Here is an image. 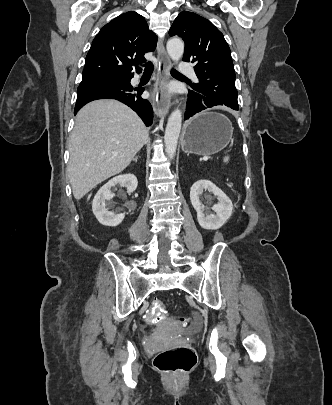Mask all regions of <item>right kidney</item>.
I'll use <instances>...</instances> for the list:
<instances>
[{"mask_svg":"<svg viewBox=\"0 0 332 405\" xmlns=\"http://www.w3.org/2000/svg\"><path fill=\"white\" fill-rule=\"evenodd\" d=\"M120 184L126 187L128 192H134L138 185V180L133 174H123L116 176L103 185L94 196L92 211L99 223L105 226H118L124 219L125 214H115L109 211L106 201L113 198L111 188Z\"/></svg>","mask_w":332,"mask_h":405,"instance_id":"1","label":"right kidney"}]
</instances>
